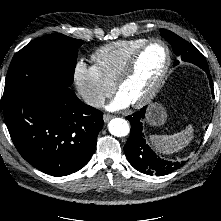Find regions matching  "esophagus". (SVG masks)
Returning <instances> with one entry per match:
<instances>
[{
	"instance_id": "esophagus-1",
	"label": "esophagus",
	"mask_w": 221,
	"mask_h": 221,
	"mask_svg": "<svg viewBox=\"0 0 221 221\" xmlns=\"http://www.w3.org/2000/svg\"><path fill=\"white\" fill-rule=\"evenodd\" d=\"M112 118H113V115H110V114H104L103 116L104 122H108Z\"/></svg>"
}]
</instances>
